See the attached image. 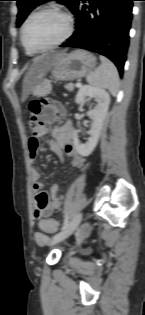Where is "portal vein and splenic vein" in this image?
Returning a JSON list of instances; mask_svg holds the SVG:
<instances>
[{"instance_id": "1", "label": "portal vein and splenic vein", "mask_w": 145, "mask_h": 315, "mask_svg": "<svg viewBox=\"0 0 145 315\" xmlns=\"http://www.w3.org/2000/svg\"><path fill=\"white\" fill-rule=\"evenodd\" d=\"M81 85H82L81 83H77L76 87H81Z\"/></svg>"}]
</instances>
